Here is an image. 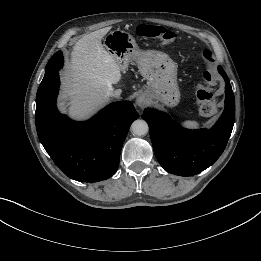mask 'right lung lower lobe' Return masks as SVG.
Returning a JSON list of instances; mask_svg holds the SVG:
<instances>
[{
    "label": "right lung lower lobe",
    "instance_id": "right-lung-lower-lobe-1",
    "mask_svg": "<svg viewBox=\"0 0 261 261\" xmlns=\"http://www.w3.org/2000/svg\"><path fill=\"white\" fill-rule=\"evenodd\" d=\"M58 71L37 92L38 137L55 164L69 178L98 182L111 177L119 166L120 152L130 125L139 117L133 104L116 102L86 122H75L56 108Z\"/></svg>",
    "mask_w": 261,
    "mask_h": 261
}]
</instances>
